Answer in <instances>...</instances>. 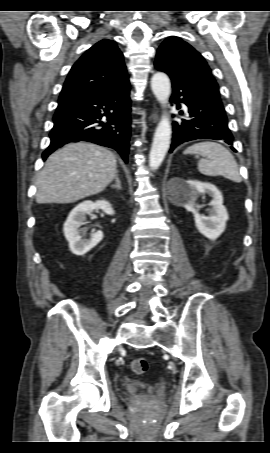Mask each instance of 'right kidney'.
Returning <instances> with one entry per match:
<instances>
[{
    "label": "right kidney",
    "mask_w": 270,
    "mask_h": 453,
    "mask_svg": "<svg viewBox=\"0 0 270 453\" xmlns=\"http://www.w3.org/2000/svg\"><path fill=\"white\" fill-rule=\"evenodd\" d=\"M96 209H101L108 215L115 213L111 204L106 200H98L96 202L84 201L69 213L64 223L63 231L69 243L70 251L77 256L86 254L103 239L102 231L93 232L88 239H82L81 236L84 229L80 228V226L84 224L86 216L90 215Z\"/></svg>",
    "instance_id": "1"
}]
</instances>
